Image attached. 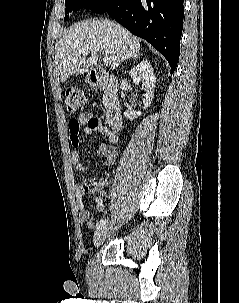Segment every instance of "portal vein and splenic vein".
I'll list each match as a JSON object with an SVG mask.
<instances>
[{
	"instance_id": "portal-vein-and-splenic-vein-1",
	"label": "portal vein and splenic vein",
	"mask_w": 239,
	"mask_h": 303,
	"mask_svg": "<svg viewBox=\"0 0 239 303\" xmlns=\"http://www.w3.org/2000/svg\"><path fill=\"white\" fill-rule=\"evenodd\" d=\"M83 54L84 55L88 54V51H83ZM103 62H104V64L109 65V64H111L112 60H111V58L104 56Z\"/></svg>"
}]
</instances>
